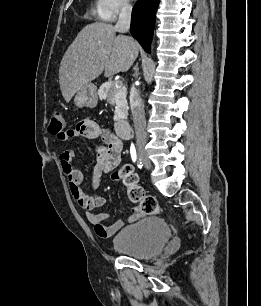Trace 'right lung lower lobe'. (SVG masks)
Returning a JSON list of instances; mask_svg holds the SVG:
<instances>
[{
  "label": "right lung lower lobe",
  "instance_id": "1",
  "mask_svg": "<svg viewBox=\"0 0 261 306\" xmlns=\"http://www.w3.org/2000/svg\"><path fill=\"white\" fill-rule=\"evenodd\" d=\"M158 5L159 0H137L132 10L131 33L146 52H150Z\"/></svg>",
  "mask_w": 261,
  "mask_h": 306
}]
</instances>
